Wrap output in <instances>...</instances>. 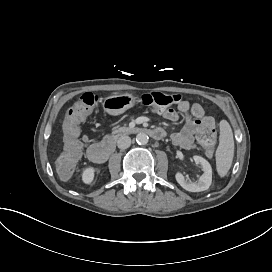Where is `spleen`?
Here are the masks:
<instances>
[{"mask_svg":"<svg viewBox=\"0 0 272 272\" xmlns=\"http://www.w3.org/2000/svg\"><path fill=\"white\" fill-rule=\"evenodd\" d=\"M219 145L216 150V168L220 177H224L232 164L234 157V139L232 129L226 120H221Z\"/></svg>","mask_w":272,"mask_h":272,"instance_id":"3e777b00","label":"spleen"}]
</instances>
